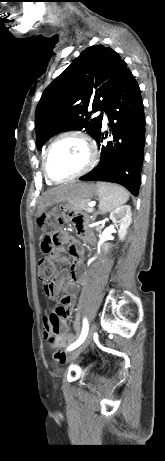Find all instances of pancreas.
<instances>
[{
    "mask_svg": "<svg viewBox=\"0 0 165 461\" xmlns=\"http://www.w3.org/2000/svg\"><path fill=\"white\" fill-rule=\"evenodd\" d=\"M70 208L74 211H87L90 212V207L88 206L89 199H73L68 201Z\"/></svg>",
    "mask_w": 165,
    "mask_h": 461,
    "instance_id": "cf45deb5",
    "label": "pancreas"
}]
</instances>
